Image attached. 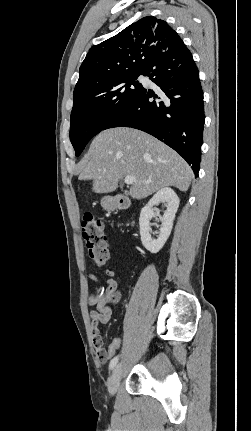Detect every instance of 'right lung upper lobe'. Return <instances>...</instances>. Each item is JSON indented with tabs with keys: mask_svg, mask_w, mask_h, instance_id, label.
I'll return each mask as SVG.
<instances>
[{
	"mask_svg": "<svg viewBox=\"0 0 251 431\" xmlns=\"http://www.w3.org/2000/svg\"><path fill=\"white\" fill-rule=\"evenodd\" d=\"M185 45L163 20L144 17L117 35L90 48L79 69L74 95L137 71L170 48Z\"/></svg>",
	"mask_w": 251,
	"mask_h": 431,
	"instance_id": "1",
	"label": "right lung upper lobe"
}]
</instances>
